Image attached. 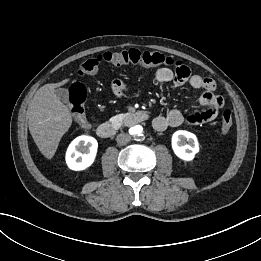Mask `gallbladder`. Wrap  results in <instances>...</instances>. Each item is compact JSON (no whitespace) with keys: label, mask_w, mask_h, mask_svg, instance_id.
I'll return each instance as SVG.
<instances>
[{"label":"gallbladder","mask_w":261,"mask_h":261,"mask_svg":"<svg viewBox=\"0 0 261 261\" xmlns=\"http://www.w3.org/2000/svg\"><path fill=\"white\" fill-rule=\"evenodd\" d=\"M57 97L64 103L68 102L69 99V93L68 90L65 88H59L55 91Z\"/></svg>","instance_id":"bac80fb5"}]
</instances>
